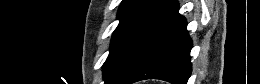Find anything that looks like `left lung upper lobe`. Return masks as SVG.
Wrapping results in <instances>:
<instances>
[{
	"instance_id": "5c2ea615",
	"label": "left lung upper lobe",
	"mask_w": 260,
	"mask_h": 84,
	"mask_svg": "<svg viewBox=\"0 0 260 84\" xmlns=\"http://www.w3.org/2000/svg\"><path fill=\"white\" fill-rule=\"evenodd\" d=\"M161 0H123L118 12L120 23L114 31L111 49L103 65V78L108 77L118 55L145 18Z\"/></svg>"
}]
</instances>
